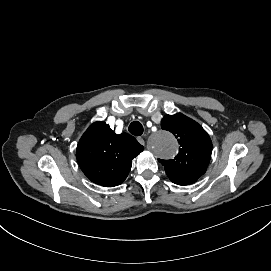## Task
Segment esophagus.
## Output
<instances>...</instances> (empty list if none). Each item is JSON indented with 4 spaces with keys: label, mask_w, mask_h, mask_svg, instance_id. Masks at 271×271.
I'll return each instance as SVG.
<instances>
[{
    "label": "esophagus",
    "mask_w": 271,
    "mask_h": 271,
    "mask_svg": "<svg viewBox=\"0 0 271 271\" xmlns=\"http://www.w3.org/2000/svg\"><path fill=\"white\" fill-rule=\"evenodd\" d=\"M137 141L141 144V145H144L145 144V141L142 137H137Z\"/></svg>",
    "instance_id": "34e87169"
}]
</instances>
